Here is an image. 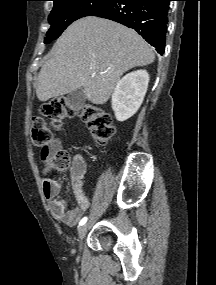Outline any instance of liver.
<instances>
[{
	"instance_id": "6515ba94",
	"label": "liver",
	"mask_w": 216,
	"mask_h": 285,
	"mask_svg": "<svg viewBox=\"0 0 216 285\" xmlns=\"http://www.w3.org/2000/svg\"><path fill=\"white\" fill-rule=\"evenodd\" d=\"M154 59L152 48L134 30L85 17L72 23L54 44L39 72L36 94L45 102L83 88L88 101L104 104L126 71Z\"/></svg>"
}]
</instances>
